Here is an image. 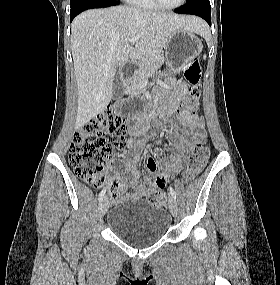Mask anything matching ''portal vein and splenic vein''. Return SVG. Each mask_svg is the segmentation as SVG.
Wrapping results in <instances>:
<instances>
[{"label":"portal vein and splenic vein","mask_w":280,"mask_h":285,"mask_svg":"<svg viewBox=\"0 0 280 285\" xmlns=\"http://www.w3.org/2000/svg\"><path fill=\"white\" fill-rule=\"evenodd\" d=\"M138 40H139V37H132L130 39V43L134 44V43L138 42Z\"/></svg>","instance_id":"18ae733b"}]
</instances>
